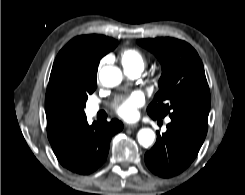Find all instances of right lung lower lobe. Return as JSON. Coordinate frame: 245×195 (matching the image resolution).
<instances>
[{
	"label": "right lung lower lobe",
	"instance_id": "right-lung-lower-lobe-1",
	"mask_svg": "<svg viewBox=\"0 0 245 195\" xmlns=\"http://www.w3.org/2000/svg\"><path fill=\"white\" fill-rule=\"evenodd\" d=\"M123 129L117 119L111 122L83 121L74 133L53 151L62 166L73 173L87 175L98 169L106 160L110 140Z\"/></svg>",
	"mask_w": 245,
	"mask_h": 195
}]
</instances>
